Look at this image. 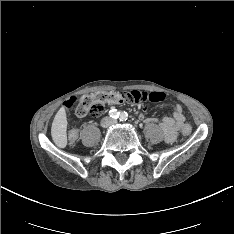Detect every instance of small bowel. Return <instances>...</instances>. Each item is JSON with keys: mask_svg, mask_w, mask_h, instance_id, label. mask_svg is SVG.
<instances>
[{"mask_svg": "<svg viewBox=\"0 0 234 234\" xmlns=\"http://www.w3.org/2000/svg\"><path fill=\"white\" fill-rule=\"evenodd\" d=\"M139 117L146 123H158L164 132L165 141L169 143L175 140L177 132L185 126V116L180 105H174L171 115L164 117L162 120L145 117L144 110L139 113Z\"/></svg>", "mask_w": 234, "mask_h": 234, "instance_id": "small-bowel-1", "label": "small bowel"}]
</instances>
